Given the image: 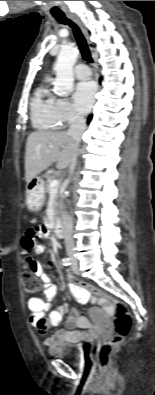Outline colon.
<instances>
[{
    "label": "colon",
    "mask_w": 155,
    "mask_h": 395,
    "mask_svg": "<svg viewBox=\"0 0 155 395\" xmlns=\"http://www.w3.org/2000/svg\"><path fill=\"white\" fill-rule=\"evenodd\" d=\"M21 281L24 286L25 292L29 295L38 293L42 287L41 282L33 270V259L27 257L24 262V271L21 274ZM68 284L79 285L80 288H87L88 292L95 294L96 296H104V290L95 285H90L89 281H84L83 278H68L66 286ZM106 297V296H104ZM109 300L111 305V311L114 312V335L99 344L96 350L97 362L100 366H106L110 362V359L117 348L122 343L125 336H127L133 326V318L126 308V306L115 299Z\"/></svg>",
    "instance_id": "1"
}]
</instances>
